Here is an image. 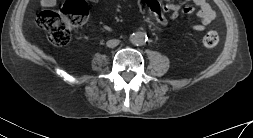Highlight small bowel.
I'll list each match as a JSON object with an SVG mask.
<instances>
[{"mask_svg": "<svg viewBox=\"0 0 253 138\" xmlns=\"http://www.w3.org/2000/svg\"><path fill=\"white\" fill-rule=\"evenodd\" d=\"M191 1L198 7L196 13L199 23L193 26L195 31H203L207 25H209L215 18V13L211 9L206 0H187ZM147 7L154 14L155 20L160 27H165L168 24L169 19H176L180 13L183 15H190L193 12V7L190 5H180L176 3L160 4L158 0H144ZM56 3V0H41V4L44 7H52Z\"/></svg>", "mask_w": 253, "mask_h": 138, "instance_id": "small-bowel-1", "label": "small bowel"}]
</instances>
